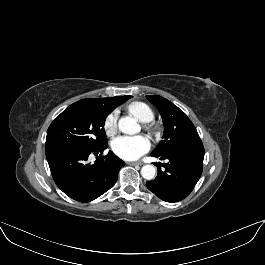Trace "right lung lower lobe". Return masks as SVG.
<instances>
[{"label":"right lung lower lobe","mask_w":265,"mask_h":265,"mask_svg":"<svg viewBox=\"0 0 265 265\" xmlns=\"http://www.w3.org/2000/svg\"><path fill=\"white\" fill-rule=\"evenodd\" d=\"M107 147L108 144L93 149L75 144L46 145V157L56 185L79 202H90L108 191L125 163L111 151L102 156ZM92 153H100L94 164L88 162Z\"/></svg>","instance_id":"1"}]
</instances>
